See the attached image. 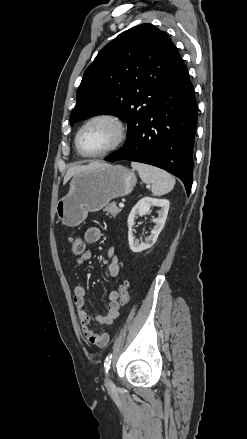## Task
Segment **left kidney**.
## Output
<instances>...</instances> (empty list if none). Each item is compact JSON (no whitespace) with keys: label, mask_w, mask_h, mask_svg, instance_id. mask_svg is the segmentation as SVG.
I'll return each mask as SVG.
<instances>
[{"label":"left kidney","mask_w":247,"mask_h":439,"mask_svg":"<svg viewBox=\"0 0 247 439\" xmlns=\"http://www.w3.org/2000/svg\"><path fill=\"white\" fill-rule=\"evenodd\" d=\"M151 206L161 207L158 211V218L153 219L155 226L151 231V235L145 238V242H139L133 234L134 220L137 215H145L150 212ZM170 202L166 199H156L151 197L142 198L131 210L128 217V241L130 249L135 252H142L155 244L160 232L162 231L167 219Z\"/></svg>","instance_id":"obj_1"}]
</instances>
